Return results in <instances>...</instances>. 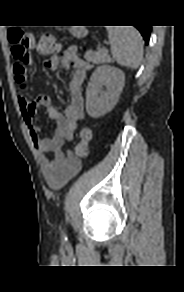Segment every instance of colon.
Segmentation results:
<instances>
[{"label": "colon", "instance_id": "obj_1", "mask_svg": "<svg viewBox=\"0 0 184 292\" xmlns=\"http://www.w3.org/2000/svg\"><path fill=\"white\" fill-rule=\"evenodd\" d=\"M13 57L20 63H26L29 57L28 49L32 44V37L21 28L12 27L8 31ZM60 49V44L52 33H44L37 45V50L42 55H53ZM92 138L90 128L80 131V140L74 149V155L83 158L88 155L89 144Z\"/></svg>", "mask_w": 184, "mask_h": 292}]
</instances>
